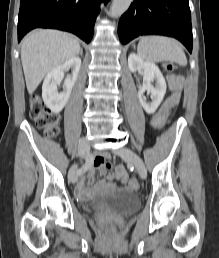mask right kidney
I'll return each instance as SVG.
<instances>
[{"instance_id":"right-kidney-1","label":"right kidney","mask_w":219,"mask_h":258,"mask_svg":"<svg viewBox=\"0 0 219 258\" xmlns=\"http://www.w3.org/2000/svg\"><path fill=\"white\" fill-rule=\"evenodd\" d=\"M80 67L81 59L79 57H73L62 65L52 69L45 77L42 85V98L52 112L59 113L66 105L77 80ZM69 69L72 70V74L65 79L63 91L59 93L57 85L64 78V71Z\"/></svg>"}]
</instances>
